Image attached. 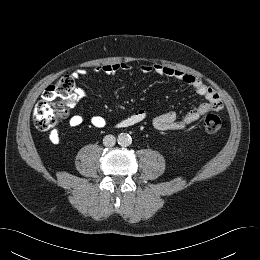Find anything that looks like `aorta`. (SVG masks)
Wrapping results in <instances>:
<instances>
[{"label": "aorta", "instance_id": "762f6f07", "mask_svg": "<svg viewBox=\"0 0 260 260\" xmlns=\"http://www.w3.org/2000/svg\"><path fill=\"white\" fill-rule=\"evenodd\" d=\"M117 140H118V144L122 147H127V146L131 145V143H132V138L127 133H120L118 135Z\"/></svg>", "mask_w": 260, "mask_h": 260}]
</instances>
